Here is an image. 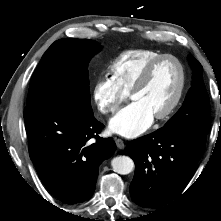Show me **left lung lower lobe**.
Here are the masks:
<instances>
[{
    "label": "left lung lower lobe",
    "mask_w": 221,
    "mask_h": 221,
    "mask_svg": "<svg viewBox=\"0 0 221 221\" xmlns=\"http://www.w3.org/2000/svg\"><path fill=\"white\" fill-rule=\"evenodd\" d=\"M207 134L158 129L129 142L127 152L135 162L132 200L142 207H161L182 193L204 153Z\"/></svg>",
    "instance_id": "obj_1"
}]
</instances>
